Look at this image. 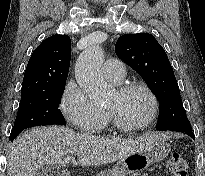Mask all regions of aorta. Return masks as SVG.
I'll return each instance as SVG.
<instances>
[{"mask_svg": "<svg viewBox=\"0 0 205 176\" xmlns=\"http://www.w3.org/2000/svg\"><path fill=\"white\" fill-rule=\"evenodd\" d=\"M102 61V48L93 45L80 54L75 65L77 83L88 97L97 103L105 101L110 91L102 75Z\"/></svg>", "mask_w": 205, "mask_h": 176, "instance_id": "obj_1", "label": "aorta"}]
</instances>
